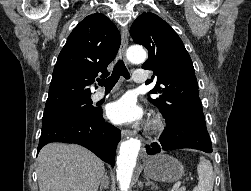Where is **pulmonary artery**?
I'll return each mask as SVG.
<instances>
[{
	"label": "pulmonary artery",
	"mask_w": 251,
	"mask_h": 191,
	"mask_svg": "<svg viewBox=\"0 0 251 191\" xmlns=\"http://www.w3.org/2000/svg\"><path fill=\"white\" fill-rule=\"evenodd\" d=\"M133 78L135 82H143L145 78L148 77V74L145 73V68H134ZM106 96L105 91H97L93 94L92 98L95 101H99Z\"/></svg>",
	"instance_id": "1"
}]
</instances>
